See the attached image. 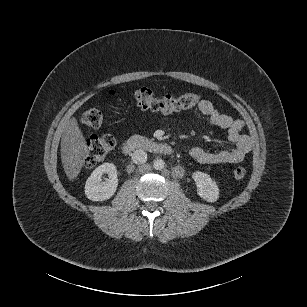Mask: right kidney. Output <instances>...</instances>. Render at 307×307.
I'll use <instances>...</instances> for the list:
<instances>
[{"mask_svg":"<svg viewBox=\"0 0 307 307\" xmlns=\"http://www.w3.org/2000/svg\"><path fill=\"white\" fill-rule=\"evenodd\" d=\"M108 174V178L102 181L103 174ZM118 186L116 166L112 163H104L97 167L87 179L85 184V194L92 201H104L111 198Z\"/></svg>","mask_w":307,"mask_h":307,"instance_id":"obj_1","label":"right kidney"}]
</instances>
